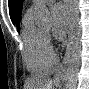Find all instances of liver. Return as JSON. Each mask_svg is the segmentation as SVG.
Listing matches in <instances>:
<instances>
[{"label":"liver","mask_w":89,"mask_h":89,"mask_svg":"<svg viewBox=\"0 0 89 89\" xmlns=\"http://www.w3.org/2000/svg\"><path fill=\"white\" fill-rule=\"evenodd\" d=\"M55 81L47 78L32 77L25 82L24 89H52Z\"/></svg>","instance_id":"6515ba94"}]
</instances>
